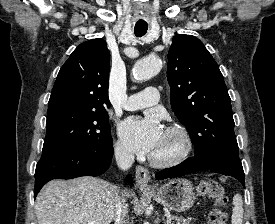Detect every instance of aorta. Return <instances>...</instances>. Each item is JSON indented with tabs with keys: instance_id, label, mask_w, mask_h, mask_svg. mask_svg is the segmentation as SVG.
I'll list each match as a JSON object with an SVG mask.
<instances>
[{
	"instance_id": "aorta-1",
	"label": "aorta",
	"mask_w": 275,
	"mask_h": 224,
	"mask_svg": "<svg viewBox=\"0 0 275 224\" xmlns=\"http://www.w3.org/2000/svg\"><path fill=\"white\" fill-rule=\"evenodd\" d=\"M162 68V61L155 56L139 60L133 67V76L138 81L148 80Z\"/></svg>"
}]
</instances>
